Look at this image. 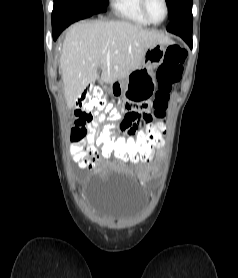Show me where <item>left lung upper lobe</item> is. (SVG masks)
Instances as JSON below:
<instances>
[{
    "mask_svg": "<svg viewBox=\"0 0 238 278\" xmlns=\"http://www.w3.org/2000/svg\"><path fill=\"white\" fill-rule=\"evenodd\" d=\"M192 3V0H168L169 19H173L178 11L186 4Z\"/></svg>",
    "mask_w": 238,
    "mask_h": 278,
    "instance_id": "5c2ea615",
    "label": "left lung upper lobe"
}]
</instances>
